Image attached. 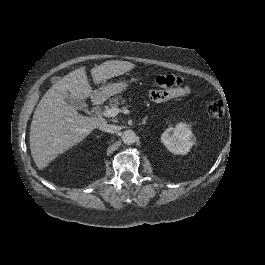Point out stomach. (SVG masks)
<instances>
[{"label":"stomach","mask_w":265,"mask_h":265,"mask_svg":"<svg viewBox=\"0 0 265 265\" xmlns=\"http://www.w3.org/2000/svg\"><path fill=\"white\" fill-rule=\"evenodd\" d=\"M129 87L128 81H120L118 83H109L107 85H103L98 91L103 92V95L105 97H109L118 93H121L122 91L126 90Z\"/></svg>","instance_id":"stomach-1"}]
</instances>
